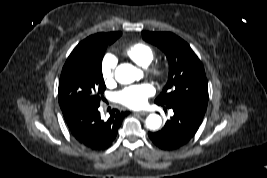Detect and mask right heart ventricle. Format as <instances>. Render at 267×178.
Returning a JSON list of instances; mask_svg holds the SVG:
<instances>
[{
  "instance_id": "e07e8e85",
  "label": "right heart ventricle",
  "mask_w": 267,
  "mask_h": 178,
  "mask_svg": "<svg viewBox=\"0 0 267 178\" xmlns=\"http://www.w3.org/2000/svg\"><path fill=\"white\" fill-rule=\"evenodd\" d=\"M125 54L137 65L147 67L154 59V50L143 42H136L130 45Z\"/></svg>"
}]
</instances>
